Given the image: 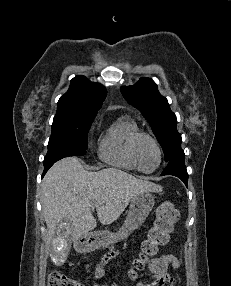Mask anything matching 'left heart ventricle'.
Segmentation results:
<instances>
[{
  "mask_svg": "<svg viewBox=\"0 0 231 286\" xmlns=\"http://www.w3.org/2000/svg\"><path fill=\"white\" fill-rule=\"evenodd\" d=\"M137 159L144 170L150 171L157 166L159 161L158 151L149 139L143 138L139 141Z\"/></svg>",
  "mask_w": 231,
  "mask_h": 286,
  "instance_id": "1",
  "label": "left heart ventricle"
}]
</instances>
